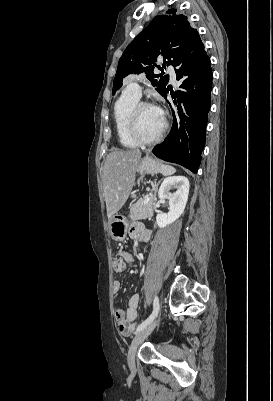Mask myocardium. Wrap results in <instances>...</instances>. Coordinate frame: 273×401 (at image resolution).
Wrapping results in <instances>:
<instances>
[{"instance_id":"1","label":"myocardium","mask_w":273,"mask_h":401,"mask_svg":"<svg viewBox=\"0 0 273 401\" xmlns=\"http://www.w3.org/2000/svg\"><path fill=\"white\" fill-rule=\"evenodd\" d=\"M143 106L152 107L151 104L144 102V101H140L132 108V110L129 114L127 126H126L127 134L132 140H134L135 142H137L141 145L155 144L158 141H160L163 138V136L165 135V133L167 131V123L165 121L163 122V127L156 136H154L152 138L143 137L140 134V132L138 130V125H137V113H138L139 109Z\"/></svg>"}]
</instances>
